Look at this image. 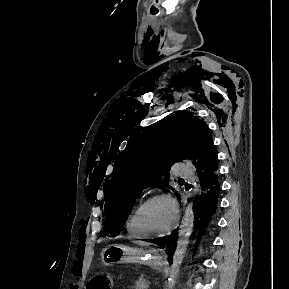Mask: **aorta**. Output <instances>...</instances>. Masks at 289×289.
<instances>
[{
  "instance_id": "obj_1",
  "label": "aorta",
  "mask_w": 289,
  "mask_h": 289,
  "mask_svg": "<svg viewBox=\"0 0 289 289\" xmlns=\"http://www.w3.org/2000/svg\"><path fill=\"white\" fill-rule=\"evenodd\" d=\"M194 212L193 204L190 202L184 212L180 229L179 238L177 241V247L173 255V260L170 268V276L168 279V288L174 289L176 284V279L179 275L180 267L185 257L187 251V246L189 244V238L193 232L194 227Z\"/></svg>"
}]
</instances>
